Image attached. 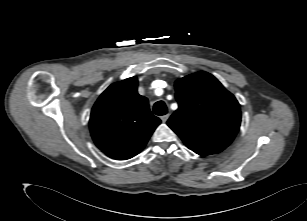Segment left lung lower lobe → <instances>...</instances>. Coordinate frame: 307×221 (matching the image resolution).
<instances>
[{
    "label": "left lung lower lobe",
    "instance_id": "1",
    "mask_svg": "<svg viewBox=\"0 0 307 221\" xmlns=\"http://www.w3.org/2000/svg\"><path fill=\"white\" fill-rule=\"evenodd\" d=\"M200 155H208V154H200Z\"/></svg>",
    "mask_w": 307,
    "mask_h": 221
}]
</instances>
